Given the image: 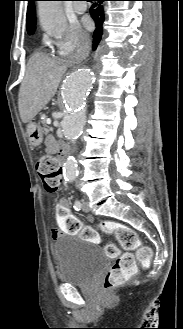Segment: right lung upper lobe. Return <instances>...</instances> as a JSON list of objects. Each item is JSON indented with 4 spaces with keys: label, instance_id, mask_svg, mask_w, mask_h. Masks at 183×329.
<instances>
[{
    "label": "right lung upper lobe",
    "instance_id": "cb5924a9",
    "mask_svg": "<svg viewBox=\"0 0 183 329\" xmlns=\"http://www.w3.org/2000/svg\"><path fill=\"white\" fill-rule=\"evenodd\" d=\"M28 9H27V31L28 33L33 32L35 30V24H36V19H35V7H34V1L36 0H28Z\"/></svg>",
    "mask_w": 183,
    "mask_h": 329
}]
</instances>
